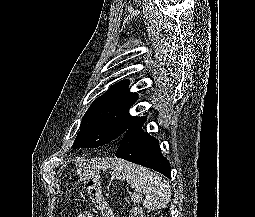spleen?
<instances>
[{
	"mask_svg": "<svg viewBox=\"0 0 255 217\" xmlns=\"http://www.w3.org/2000/svg\"><path fill=\"white\" fill-rule=\"evenodd\" d=\"M111 169L116 178L127 180L137 192L145 195L143 206L149 210L165 207L171 198L169 183L159 174L124 160L112 162Z\"/></svg>",
	"mask_w": 255,
	"mask_h": 217,
	"instance_id": "1",
	"label": "spleen"
}]
</instances>
